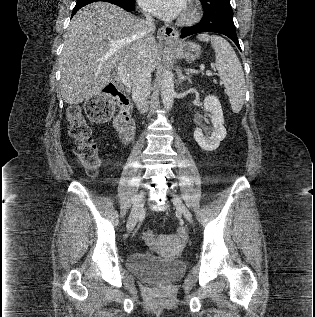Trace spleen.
Masks as SVG:
<instances>
[{
    "mask_svg": "<svg viewBox=\"0 0 315 317\" xmlns=\"http://www.w3.org/2000/svg\"><path fill=\"white\" fill-rule=\"evenodd\" d=\"M201 41H211L215 51V65L219 77L227 91L232 111L239 113L245 100V77L241 63L232 46L223 37L202 33L197 36Z\"/></svg>",
    "mask_w": 315,
    "mask_h": 317,
    "instance_id": "spleen-1",
    "label": "spleen"
}]
</instances>
